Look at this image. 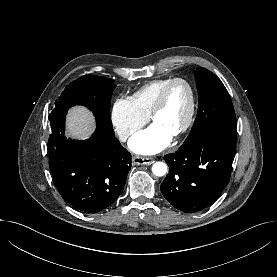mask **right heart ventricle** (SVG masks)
I'll use <instances>...</instances> for the list:
<instances>
[{"instance_id": "right-heart-ventricle-1", "label": "right heart ventricle", "mask_w": 277, "mask_h": 277, "mask_svg": "<svg viewBox=\"0 0 277 277\" xmlns=\"http://www.w3.org/2000/svg\"><path fill=\"white\" fill-rule=\"evenodd\" d=\"M169 80H153L143 85L131 96L142 113L147 116L150 114L160 90Z\"/></svg>"}]
</instances>
